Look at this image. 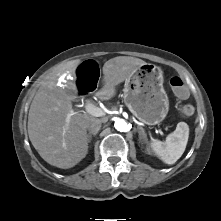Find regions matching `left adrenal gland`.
<instances>
[{"label":"left adrenal gland","instance_id":"obj_1","mask_svg":"<svg viewBox=\"0 0 221 221\" xmlns=\"http://www.w3.org/2000/svg\"><path fill=\"white\" fill-rule=\"evenodd\" d=\"M138 129V133H139V140H144L145 142H147V135L144 131V129L141 126L137 127Z\"/></svg>","mask_w":221,"mask_h":221}]
</instances>
